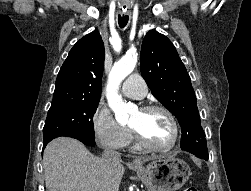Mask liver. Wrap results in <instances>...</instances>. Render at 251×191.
Wrapping results in <instances>:
<instances>
[{
	"mask_svg": "<svg viewBox=\"0 0 251 191\" xmlns=\"http://www.w3.org/2000/svg\"><path fill=\"white\" fill-rule=\"evenodd\" d=\"M47 191H119L122 163L96 157L73 137H56L43 153Z\"/></svg>",
	"mask_w": 251,
	"mask_h": 191,
	"instance_id": "1",
	"label": "liver"
}]
</instances>
